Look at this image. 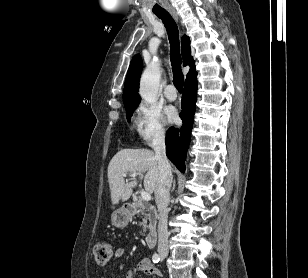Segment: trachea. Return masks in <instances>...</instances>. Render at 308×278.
Returning <instances> with one entry per match:
<instances>
[{"label":"trachea","mask_w":308,"mask_h":278,"mask_svg":"<svg viewBox=\"0 0 308 278\" xmlns=\"http://www.w3.org/2000/svg\"><path fill=\"white\" fill-rule=\"evenodd\" d=\"M162 20L167 30L170 42V59L173 70V83L179 92H182L184 76L181 71V55L179 43V30L172 16L167 12L155 13Z\"/></svg>","instance_id":"3493384b"}]
</instances>
